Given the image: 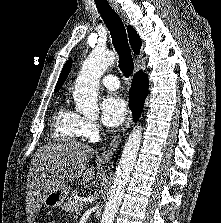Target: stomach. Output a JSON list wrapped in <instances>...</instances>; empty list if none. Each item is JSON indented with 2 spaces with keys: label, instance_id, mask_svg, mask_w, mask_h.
Instances as JSON below:
<instances>
[{
  "label": "stomach",
  "instance_id": "1",
  "mask_svg": "<svg viewBox=\"0 0 221 223\" xmlns=\"http://www.w3.org/2000/svg\"><path fill=\"white\" fill-rule=\"evenodd\" d=\"M69 196V188L65 185L52 190L43 200L42 204L46 208H56L61 206Z\"/></svg>",
  "mask_w": 221,
  "mask_h": 223
}]
</instances>
